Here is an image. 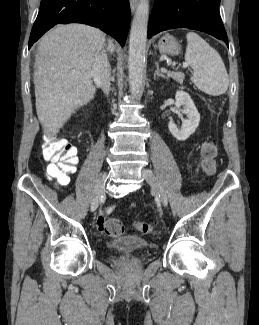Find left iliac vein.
Wrapping results in <instances>:
<instances>
[{
    "label": "left iliac vein",
    "instance_id": "4c4485c4",
    "mask_svg": "<svg viewBox=\"0 0 259 325\" xmlns=\"http://www.w3.org/2000/svg\"><path fill=\"white\" fill-rule=\"evenodd\" d=\"M141 173L143 178L148 182V184L157 192L160 201L166 207L168 205L167 194L157 177L150 169H143Z\"/></svg>",
    "mask_w": 259,
    "mask_h": 325
}]
</instances>
